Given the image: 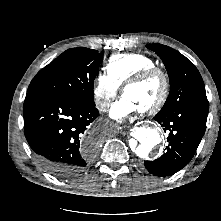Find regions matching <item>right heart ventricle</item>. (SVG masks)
I'll list each match as a JSON object with an SVG mask.
<instances>
[{
	"mask_svg": "<svg viewBox=\"0 0 221 221\" xmlns=\"http://www.w3.org/2000/svg\"><path fill=\"white\" fill-rule=\"evenodd\" d=\"M151 67H157L155 60L139 52L118 54L112 56L107 63V73L121 86L138 72Z\"/></svg>",
	"mask_w": 221,
	"mask_h": 221,
	"instance_id": "obj_1",
	"label": "right heart ventricle"
}]
</instances>
